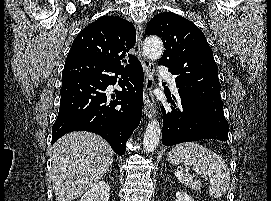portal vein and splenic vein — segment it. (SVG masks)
<instances>
[{
    "instance_id": "obj_1",
    "label": "portal vein and splenic vein",
    "mask_w": 271,
    "mask_h": 201,
    "mask_svg": "<svg viewBox=\"0 0 271 201\" xmlns=\"http://www.w3.org/2000/svg\"><path fill=\"white\" fill-rule=\"evenodd\" d=\"M201 178H202V179H205V180L207 179L205 176H201Z\"/></svg>"
}]
</instances>
